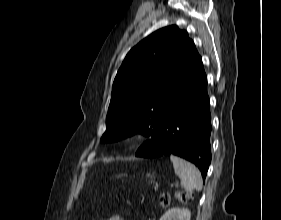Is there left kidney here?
<instances>
[{
  "mask_svg": "<svg viewBox=\"0 0 281 220\" xmlns=\"http://www.w3.org/2000/svg\"><path fill=\"white\" fill-rule=\"evenodd\" d=\"M191 212L189 209L173 207L166 211L159 220H190Z\"/></svg>",
  "mask_w": 281,
  "mask_h": 220,
  "instance_id": "left-kidney-1",
  "label": "left kidney"
}]
</instances>
